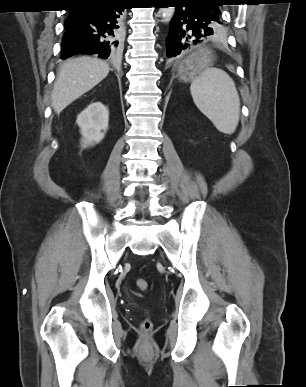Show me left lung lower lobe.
Listing matches in <instances>:
<instances>
[{"label": "left lung lower lobe", "mask_w": 306, "mask_h": 387, "mask_svg": "<svg viewBox=\"0 0 306 387\" xmlns=\"http://www.w3.org/2000/svg\"><path fill=\"white\" fill-rule=\"evenodd\" d=\"M176 7L166 40L167 57H175L215 33L221 24V0H164Z\"/></svg>", "instance_id": "obj_1"}]
</instances>
